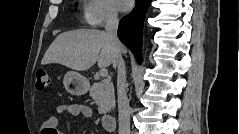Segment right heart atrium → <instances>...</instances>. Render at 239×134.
<instances>
[{
  "label": "right heart atrium",
  "mask_w": 239,
  "mask_h": 134,
  "mask_svg": "<svg viewBox=\"0 0 239 134\" xmlns=\"http://www.w3.org/2000/svg\"><path fill=\"white\" fill-rule=\"evenodd\" d=\"M84 21L92 27H101L118 19V9L112 0H89L84 6Z\"/></svg>",
  "instance_id": "d8ad5b80"
}]
</instances>
